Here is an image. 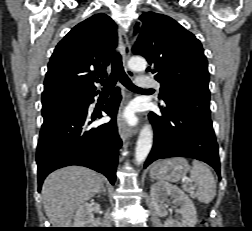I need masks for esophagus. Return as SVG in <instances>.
<instances>
[{"mask_svg": "<svg viewBox=\"0 0 252 231\" xmlns=\"http://www.w3.org/2000/svg\"><path fill=\"white\" fill-rule=\"evenodd\" d=\"M119 35L122 42L124 67H125L126 73L131 78H133L135 76V73L132 70H130L128 67V59L131 54L130 43H129L126 33L122 29H119ZM118 131L123 142H125L128 139V137H130L132 134L135 133L134 128L127 125V123L121 117L118 119Z\"/></svg>", "mask_w": 252, "mask_h": 231, "instance_id": "1", "label": "esophagus"}]
</instances>
